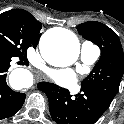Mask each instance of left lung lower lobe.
Here are the masks:
<instances>
[{
    "instance_id": "obj_1",
    "label": "left lung lower lobe",
    "mask_w": 124,
    "mask_h": 124,
    "mask_svg": "<svg viewBox=\"0 0 124 124\" xmlns=\"http://www.w3.org/2000/svg\"><path fill=\"white\" fill-rule=\"evenodd\" d=\"M38 88L47 95L51 117L57 124H94L110 106L85 91L72 98L67 89L53 83L40 82Z\"/></svg>"
}]
</instances>
